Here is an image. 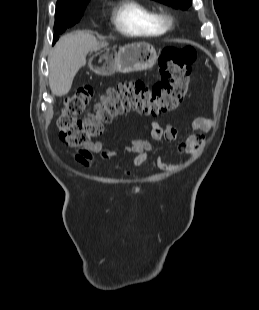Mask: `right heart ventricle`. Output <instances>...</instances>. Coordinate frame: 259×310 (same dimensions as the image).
I'll use <instances>...</instances> for the list:
<instances>
[{
    "mask_svg": "<svg viewBox=\"0 0 259 310\" xmlns=\"http://www.w3.org/2000/svg\"><path fill=\"white\" fill-rule=\"evenodd\" d=\"M112 22L118 31L128 36H159L166 32L157 19V13L138 0L118 2L113 10Z\"/></svg>",
    "mask_w": 259,
    "mask_h": 310,
    "instance_id": "right-heart-ventricle-1",
    "label": "right heart ventricle"
}]
</instances>
